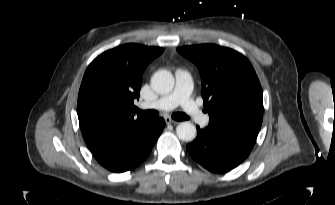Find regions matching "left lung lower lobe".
Wrapping results in <instances>:
<instances>
[{
	"label": "left lung lower lobe",
	"instance_id": "0a47b994",
	"mask_svg": "<svg viewBox=\"0 0 335 205\" xmlns=\"http://www.w3.org/2000/svg\"><path fill=\"white\" fill-rule=\"evenodd\" d=\"M198 136L187 145L191 157L207 170L226 173L242 163L251 152L255 139L209 124L197 127Z\"/></svg>",
	"mask_w": 335,
	"mask_h": 205
}]
</instances>
